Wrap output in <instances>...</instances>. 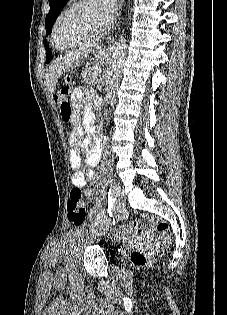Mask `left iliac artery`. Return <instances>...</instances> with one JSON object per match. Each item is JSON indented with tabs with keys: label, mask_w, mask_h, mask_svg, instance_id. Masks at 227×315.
<instances>
[{
	"label": "left iliac artery",
	"mask_w": 227,
	"mask_h": 315,
	"mask_svg": "<svg viewBox=\"0 0 227 315\" xmlns=\"http://www.w3.org/2000/svg\"><path fill=\"white\" fill-rule=\"evenodd\" d=\"M109 185H110V189H109V192H108V210L110 212V205H111V202L115 200L116 198V193H115V190H114V185H115V182L113 180H110L108 181ZM106 219V210L103 209L101 211V213L98 215L96 221H95V224H94V227H97L99 226V224H101L104 220Z\"/></svg>",
	"instance_id": "left-iliac-artery-1"
}]
</instances>
